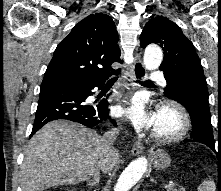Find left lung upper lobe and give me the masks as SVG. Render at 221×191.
<instances>
[{
    "instance_id": "obj_1",
    "label": "left lung upper lobe",
    "mask_w": 221,
    "mask_h": 191,
    "mask_svg": "<svg viewBox=\"0 0 221 191\" xmlns=\"http://www.w3.org/2000/svg\"><path fill=\"white\" fill-rule=\"evenodd\" d=\"M150 43L160 45L164 51L160 70L164 72L167 81V87L164 89L165 96L176 101L180 100L178 94L180 85L192 76H204L194 45L174 22L163 16L151 18L142 31L140 45L146 47ZM196 138L197 142L211 149L215 148L211 120L207 130L200 131Z\"/></svg>"
}]
</instances>
